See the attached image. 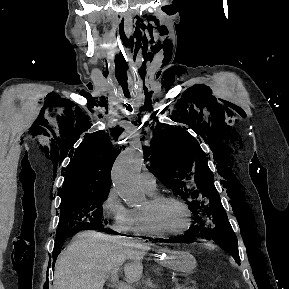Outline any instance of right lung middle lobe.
I'll return each instance as SVG.
<instances>
[{
  "label": "right lung middle lobe",
  "instance_id": "1",
  "mask_svg": "<svg viewBox=\"0 0 289 289\" xmlns=\"http://www.w3.org/2000/svg\"><path fill=\"white\" fill-rule=\"evenodd\" d=\"M108 194L109 191H100L63 197L56 237H66L86 229L102 231V204Z\"/></svg>",
  "mask_w": 289,
  "mask_h": 289
}]
</instances>
